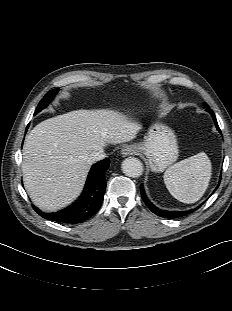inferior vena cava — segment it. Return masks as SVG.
Returning <instances> with one entry per match:
<instances>
[{
  "label": "inferior vena cava",
  "instance_id": "obj_1",
  "mask_svg": "<svg viewBox=\"0 0 232 311\" xmlns=\"http://www.w3.org/2000/svg\"><path fill=\"white\" fill-rule=\"evenodd\" d=\"M106 157V154L104 153V150L101 149L99 151H95V152H92L88 158H87V161L89 164H92L96 161H99V160H102Z\"/></svg>",
  "mask_w": 232,
  "mask_h": 311
}]
</instances>
